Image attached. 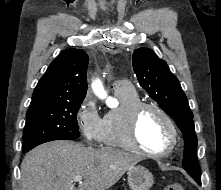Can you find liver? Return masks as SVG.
Instances as JSON below:
<instances>
[{
	"label": "liver",
	"mask_w": 221,
	"mask_h": 190,
	"mask_svg": "<svg viewBox=\"0 0 221 190\" xmlns=\"http://www.w3.org/2000/svg\"><path fill=\"white\" fill-rule=\"evenodd\" d=\"M143 157L103 147L95 149L69 141L42 144L21 164L22 190H107ZM84 181L76 188L74 177Z\"/></svg>",
	"instance_id": "obj_1"
}]
</instances>
